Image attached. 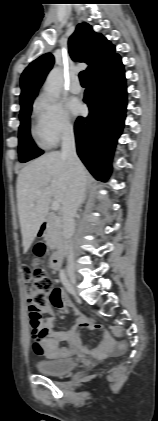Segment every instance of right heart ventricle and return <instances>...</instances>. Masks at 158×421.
<instances>
[{
    "label": "right heart ventricle",
    "mask_w": 158,
    "mask_h": 421,
    "mask_svg": "<svg viewBox=\"0 0 158 421\" xmlns=\"http://www.w3.org/2000/svg\"><path fill=\"white\" fill-rule=\"evenodd\" d=\"M31 134L37 145L41 148H49L53 144L45 137L39 118L37 117L32 124Z\"/></svg>",
    "instance_id": "1"
}]
</instances>
